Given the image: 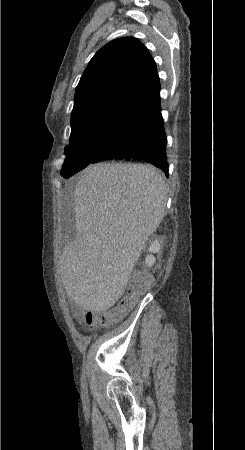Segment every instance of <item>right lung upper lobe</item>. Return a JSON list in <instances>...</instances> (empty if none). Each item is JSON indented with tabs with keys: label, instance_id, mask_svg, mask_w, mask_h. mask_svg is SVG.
Masks as SVG:
<instances>
[{
	"label": "right lung upper lobe",
	"instance_id": "obj_1",
	"mask_svg": "<svg viewBox=\"0 0 245 450\" xmlns=\"http://www.w3.org/2000/svg\"><path fill=\"white\" fill-rule=\"evenodd\" d=\"M160 100L155 62L136 38L109 42L91 59L76 88L72 116L95 105L141 112Z\"/></svg>",
	"mask_w": 245,
	"mask_h": 450
}]
</instances>
